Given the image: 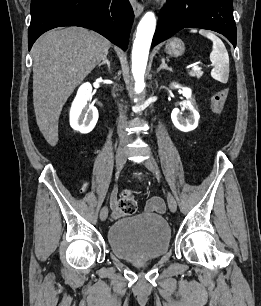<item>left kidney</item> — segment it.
<instances>
[{
	"label": "left kidney",
	"instance_id": "left-kidney-1",
	"mask_svg": "<svg viewBox=\"0 0 261 306\" xmlns=\"http://www.w3.org/2000/svg\"><path fill=\"white\" fill-rule=\"evenodd\" d=\"M174 88H182L183 95L188 99L186 106L190 110L188 118L181 116L178 108L172 110L171 119L174 126L182 132H190L198 126L200 115L194 105V99H192V91L187 87H181L179 85H173Z\"/></svg>",
	"mask_w": 261,
	"mask_h": 306
}]
</instances>
